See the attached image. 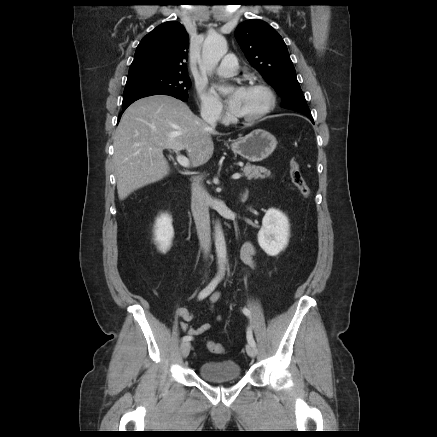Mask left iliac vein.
Masks as SVG:
<instances>
[{
  "instance_id": "1",
  "label": "left iliac vein",
  "mask_w": 437,
  "mask_h": 437,
  "mask_svg": "<svg viewBox=\"0 0 437 437\" xmlns=\"http://www.w3.org/2000/svg\"><path fill=\"white\" fill-rule=\"evenodd\" d=\"M246 352L250 357H255L257 354V349L255 346L251 345L250 343L246 345Z\"/></svg>"
}]
</instances>
